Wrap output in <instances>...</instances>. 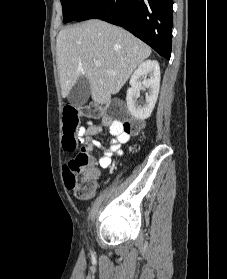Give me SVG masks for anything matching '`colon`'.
<instances>
[{"mask_svg": "<svg viewBox=\"0 0 227 279\" xmlns=\"http://www.w3.org/2000/svg\"><path fill=\"white\" fill-rule=\"evenodd\" d=\"M114 127H122L127 132H139L141 128L140 121H128L129 114L126 105L122 102H114L112 104ZM102 108L98 105H88L77 107L68 105L64 109V125H63V146L65 151L73 152L79 143L82 142L83 125L80 130L77 127L82 119L94 120L99 117ZM90 156L86 149L82 148L77 151L68 161L65 170L67 171V184L74 195L82 200L92 194L96 188L93 181H86L83 177V169L89 166Z\"/></svg>", "mask_w": 227, "mask_h": 279, "instance_id": "5ec220e1", "label": "colon"}]
</instances>
